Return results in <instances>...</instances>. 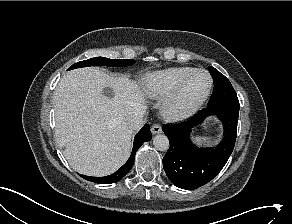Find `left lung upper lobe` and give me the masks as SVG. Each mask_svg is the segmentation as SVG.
Here are the masks:
<instances>
[{
	"label": "left lung upper lobe",
	"instance_id": "5c2ea615",
	"mask_svg": "<svg viewBox=\"0 0 292 224\" xmlns=\"http://www.w3.org/2000/svg\"><path fill=\"white\" fill-rule=\"evenodd\" d=\"M208 69L214 81V90H213V93L209 100L208 105L218 102L222 99L237 96L231 83L223 74H221L214 67L209 66Z\"/></svg>",
	"mask_w": 292,
	"mask_h": 224
}]
</instances>
